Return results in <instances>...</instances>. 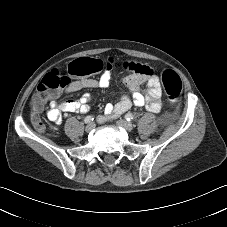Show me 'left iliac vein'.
<instances>
[{"label":"left iliac vein","mask_w":227,"mask_h":227,"mask_svg":"<svg viewBox=\"0 0 227 227\" xmlns=\"http://www.w3.org/2000/svg\"><path fill=\"white\" fill-rule=\"evenodd\" d=\"M116 125H117L118 127H121V128H123V129H125V130L128 131V132H131V131L134 129L133 124L130 123V122H127V121H125V120H118V121L116 122Z\"/></svg>","instance_id":"4c4485c4"}]
</instances>
